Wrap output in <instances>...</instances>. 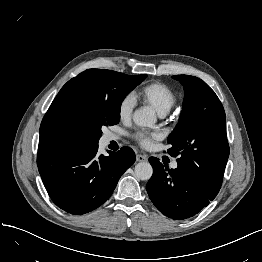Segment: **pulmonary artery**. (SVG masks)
<instances>
[{
	"instance_id": "e3ab8cb5",
	"label": "pulmonary artery",
	"mask_w": 262,
	"mask_h": 262,
	"mask_svg": "<svg viewBox=\"0 0 262 262\" xmlns=\"http://www.w3.org/2000/svg\"><path fill=\"white\" fill-rule=\"evenodd\" d=\"M108 139H109V140H116L117 138H116V136H114V135H109ZM171 167H172L173 169L177 168V162H172Z\"/></svg>"
}]
</instances>
